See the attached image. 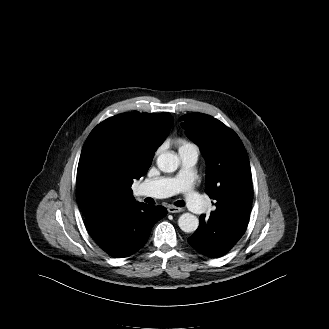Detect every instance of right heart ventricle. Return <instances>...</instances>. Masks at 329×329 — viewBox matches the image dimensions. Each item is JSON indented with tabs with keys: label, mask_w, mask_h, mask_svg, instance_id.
<instances>
[{
	"label": "right heart ventricle",
	"mask_w": 329,
	"mask_h": 329,
	"mask_svg": "<svg viewBox=\"0 0 329 329\" xmlns=\"http://www.w3.org/2000/svg\"><path fill=\"white\" fill-rule=\"evenodd\" d=\"M191 144L185 141H179V151L186 149L189 147Z\"/></svg>",
	"instance_id": "right-heart-ventricle-1"
}]
</instances>
